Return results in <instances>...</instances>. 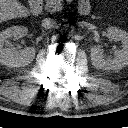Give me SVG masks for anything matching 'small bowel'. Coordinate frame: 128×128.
<instances>
[{
	"instance_id": "c3829d8e",
	"label": "small bowel",
	"mask_w": 128,
	"mask_h": 128,
	"mask_svg": "<svg viewBox=\"0 0 128 128\" xmlns=\"http://www.w3.org/2000/svg\"><path fill=\"white\" fill-rule=\"evenodd\" d=\"M80 3L87 4V5L90 6L89 0H80Z\"/></svg>"
}]
</instances>
